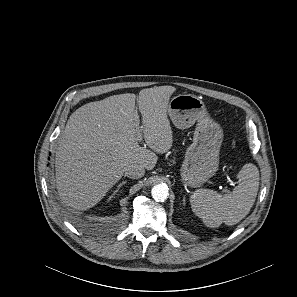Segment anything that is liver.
<instances>
[{"mask_svg":"<svg viewBox=\"0 0 297 297\" xmlns=\"http://www.w3.org/2000/svg\"><path fill=\"white\" fill-rule=\"evenodd\" d=\"M173 86L143 89L90 102L68 119L56 150V188L63 203L75 209L95 206L122 178L129 165L152 170L156 153H165L173 143L167 117ZM140 130L146 145L137 140Z\"/></svg>","mask_w":297,"mask_h":297,"instance_id":"1","label":"liver"}]
</instances>
